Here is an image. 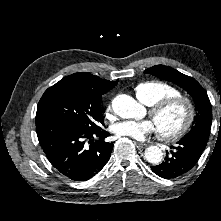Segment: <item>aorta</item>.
Masks as SVG:
<instances>
[{"label":"aorta","mask_w":221,"mask_h":221,"mask_svg":"<svg viewBox=\"0 0 221 221\" xmlns=\"http://www.w3.org/2000/svg\"><path fill=\"white\" fill-rule=\"evenodd\" d=\"M114 112L121 118H140L143 107L131 96L121 94L112 102ZM145 159L151 164H159L162 161V150L157 146H149L144 153Z\"/></svg>","instance_id":"aorta-1"}]
</instances>
